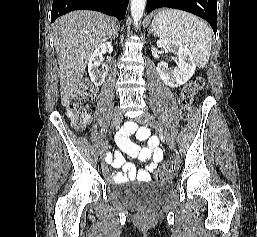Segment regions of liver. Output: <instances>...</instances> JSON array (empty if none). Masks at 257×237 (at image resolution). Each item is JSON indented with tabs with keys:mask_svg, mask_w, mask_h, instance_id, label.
Returning a JSON list of instances; mask_svg holds the SVG:
<instances>
[{
	"mask_svg": "<svg viewBox=\"0 0 257 237\" xmlns=\"http://www.w3.org/2000/svg\"><path fill=\"white\" fill-rule=\"evenodd\" d=\"M115 31L114 19L95 11H74L56 20L55 49L62 106H69L75 97L91 54Z\"/></svg>",
	"mask_w": 257,
	"mask_h": 237,
	"instance_id": "1",
	"label": "liver"
}]
</instances>
